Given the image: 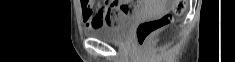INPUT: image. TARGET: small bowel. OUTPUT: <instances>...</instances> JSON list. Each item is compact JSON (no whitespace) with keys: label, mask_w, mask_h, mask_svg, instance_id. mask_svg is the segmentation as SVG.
Returning a JSON list of instances; mask_svg holds the SVG:
<instances>
[{"label":"small bowel","mask_w":235,"mask_h":62,"mask_svg":"<svg viewBox=\"0 0 235 62\" xmlns=\"http://www.w3.org/2000/svg\"><path fill=\"white\" fill-rule=\"evenodd\" d=\"M81 7L83 22L88 30L102 27L104 23L108 24L114 9H121L122 14H128L137 9L136 5L123 1H112L106 8L98 5L94 10L92 1L82 0Z\"/></svg>","instance_id":"small-bowel-1"}]
</instances>
